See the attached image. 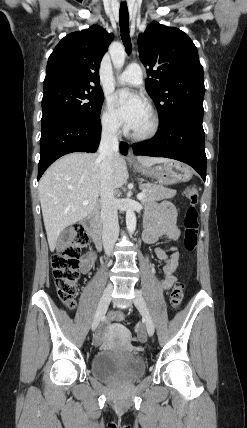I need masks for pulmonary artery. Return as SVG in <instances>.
Segmentation results:
<instances>
[{"instance_id": "obj_1", "label": "pulmonary artery", "mask_w": 247, "mask_h": 428, "mask_svg": "<svg viewBox=\"0 0 247 428\" xmlns=\"http://www.w3.org/2000/svg\"><path fill=\"white\" fill-rule=\"evenodd\" d=\"M120 83L136 86L142 83V69L138 64L129 65L118 77Z\"/></svg>"}]
</instances>
